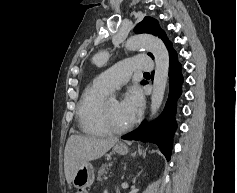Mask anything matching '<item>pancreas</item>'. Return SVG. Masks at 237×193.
<instances>
[{"instance_id":"pancreas-1","label":"pancreas","mask_w":237,"mask_h":193,"mask_svg":"<svg viewBox=\"0 0 237 193\" xmlns=\"http://www.w3.org/2000/svg\"><path fill=\"white\" fill-rule=\"evenodd\" d=\"M108 165L103 164L101 168L98 170V176L97 180L100 181L102 179V176H104L107 173Z\"/></svg>"}]
</instances>
